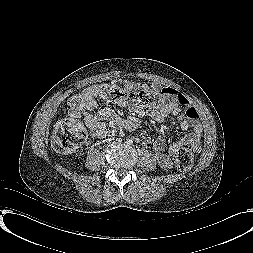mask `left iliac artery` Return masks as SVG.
Masks as SVG:
<instances>
[{"instance_id":"44dca946","label":"left iliac artery","mask_w":253,"mask_h":253,"mask_svg":"<svg viewBox=\"0 0 253 253\" xmlns=\"http://www.w3.org/2000/svg\"><path fill=\"white\" fill-rule=\"evenodd\" d=\"M127 144H132V141L131 140H127V142H126Z\"/></svg>"}]
</instances>
